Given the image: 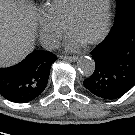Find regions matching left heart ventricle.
<instances>
[{
    "instance_id": "1",
    "label": "left heart ventricle",
    "mask_w": 135,
    "mask_h": 135,
    "mask_svg": "<svg viewBox=\"0 0 135 135\" xmlns=\"http://www.w3.org/2000/svg\"><path fill=\"white\" fill-rule=\"evenodd\" d=\"M107 0H86L82 15L71 25L69 36L81 44L94 38L102 29Z\"/></svg>"
}]
</instances>
